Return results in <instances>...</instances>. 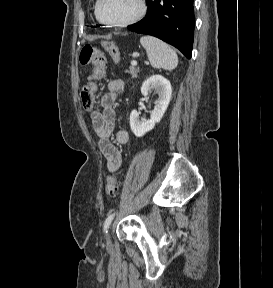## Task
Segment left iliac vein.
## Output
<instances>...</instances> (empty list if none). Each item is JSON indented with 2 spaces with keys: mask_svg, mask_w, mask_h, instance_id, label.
Here are the masks:
<instances>
[{
  "mask_svg": "<svg viewBox=\"0 0 273 288\" xmlns=\"http://www.w3.org/2000/svg\"><path fill=\"white\" fill-rule=\"evenodd\" d=\"M111 245H112V242H111L110 234L108 233L106 236V246L111 247Z\"/></svg>",
  "mask_w": 273,
  "mask_h": 288,
  "instance_id": "left-iliac-vein-1",
  "label": "left iliac vein"
}]
</instances>
